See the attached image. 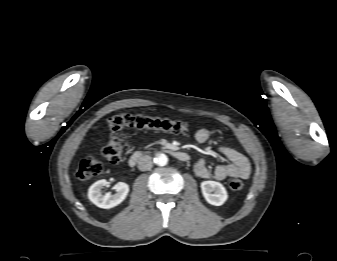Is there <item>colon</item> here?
Segmentation results:
<instances>
[{
    "instance_id": "5ec220e1",
    "label": "colon",
    "mask_w": 337,
    "mask_h": 261,
    "mask_svg": "<svg viewBox=\"0 0 337 261\" xmlns=\"http://www.w3.org/2000/svg\"><path fill=\"white\" fill-rule=\"evenodd\" d=\"M107 126L110 139L104 146L102 153L112 164H116L121 160L123 144L117 133L125 127L153 129L180 135H188L190 132V127L185 122L127 113L111 117L108 120ZM102 170L103 167L99 160L93 157H86L79 163L77 177L80 180H89L100 175ZM229 188L233 191H239L243 188V182L239 179H233L229 182Z\"/></svg>"
}]
</instances>
